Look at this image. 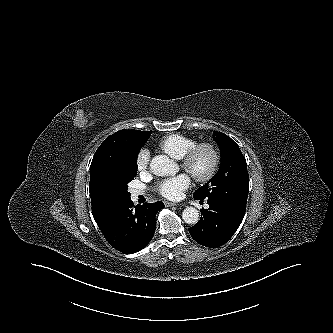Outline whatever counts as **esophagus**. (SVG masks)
Listing matches in <instances>:
<instances>
[{
  "label": "esophagus",
  "instance_id": "1",
  "mask_svg": "<svg viewBox=\"0 0 333 333\" xmlns=\"http://www.w3.org/2000/svg\"><path fill=\"white\" fill-rule=\"evenodd\" d=\"M164 204H165L166 207H172V206L181 205V204L173 203V202H169V201H165Z\"/></svg>",
  "mask_w": 333,
  "mask_h": 333
}]
</instances>
